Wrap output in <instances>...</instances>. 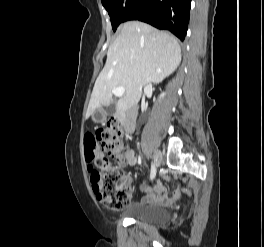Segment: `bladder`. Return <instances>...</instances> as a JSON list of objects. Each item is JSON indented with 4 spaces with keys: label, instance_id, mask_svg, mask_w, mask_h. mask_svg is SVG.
<instances>
[{
    "label": "bladder",
    "instance_id": "bladder-1",
    "mask_svg": "<svg viewBox=\"0 0 264 247\" xmlns=\"http://www.w3.org/2000/svg\"><path fill=\"white\" fill-rule=\"evenodd\" d=\"M127 216L150 225H163L170 221L171 211L162 206L134 203L129 207Z\"/></svg>",
    "mask_w": 264,
    "mask_h": 247
}]
</instances>
